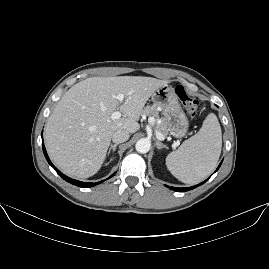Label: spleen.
<instances>
[{
	"label": "spleen",
	"mask_w": 269,
	"mask_h": 269,
	"mask_svg": "<svg viewBox=\"0 0 269 269\" xmlns=\"http://www.w3.org/2000/svg\"><path fill=\"white\" fill-rule=\"evenodd\" d=\"M222 148L220 124L210 114L199 133L184 141L178 150L167 155L166 167L183 183L196 184L215 169Z\"/></svg>",
	"instance_id": "3e777b00"
}]
</instances>
